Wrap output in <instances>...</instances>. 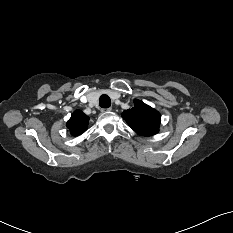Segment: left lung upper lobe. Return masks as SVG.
<instances>
[{
	"instance_id": "5c2ea615",
	"label": "left lung upper lobe",
	"mask_w": 233,
	"mask_h": 233,
	"mask_svg": "<svg viewBox=\"0 0 233 233\" xmlns=\"http://www.w3.org/2000/svg\"><path fill=\"white\" fill-rule=\"evenodd\" d=\"M122 117L139 135L151 136L159 131V112L140 100H134V107L125 110Z\"/></svg>"
}]
</instances>
